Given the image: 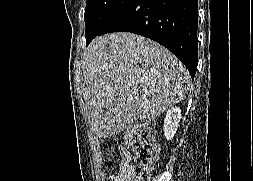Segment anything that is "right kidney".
Returning <instances> with one entry per match:
<instances>
[{
	"instance_id": "obj_1",
	"label": "right kidney",
	"mask_w": 253,
	"mask_h": 181,
	"mask_svg": "<svg viewBox=\"0 0 253 181\" xmlns=\"http://www.w3.org/2000/svg\"><path fill=\"white\" fill-rule=\"evenodd\" d=\"M181 119V110L178 107H172L167 111L166 117L164 119V136L167 140H172L177 128L179 126V122Z\"/></svg>"
}]
</instances>
